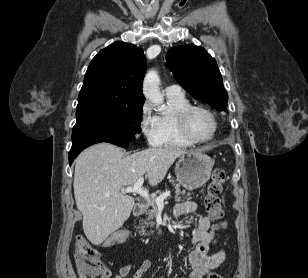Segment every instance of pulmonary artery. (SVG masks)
<instances>
[{"mask_svg":"<svg viewBox=\"0 0 308 278\" xmlns=\"http://www.w3.org/2000/svg\"><path fill=\"white\" fill-rule=\"evenodd\" d=\"M165 94L166 96H169V97H179V96H183L184 92L180 86L170 85L165 88Z\"/></svg>","mask_w":308,"mask_h":278,"instance_id":"e3ab8cb5","label":"pulmonary artery"}]
</instances>
